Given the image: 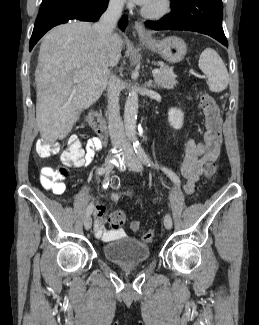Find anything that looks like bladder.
Here are the masks:
<instances>
[{
  "label": "bladder",
  "instance_id": "31cf9c89",
  "mask_svg": "<svg viewBox=\"0 0 259 325\" xmlns=\"http://www.w3.org/2000/svg\"><path fill=\"white\" fill-rule=\"evenodd\" d=\"M102 250L108 261L121 265L143 263L151 253L146 243L129 237L109 242Z\"/></svg>",
  "mask_w": 259,
  "mask_h": 325
}]
</instances>
